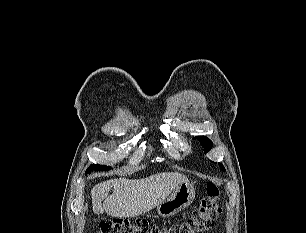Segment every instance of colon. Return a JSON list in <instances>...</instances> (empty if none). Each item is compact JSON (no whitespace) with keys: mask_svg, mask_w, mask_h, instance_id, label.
<instances>
[{"mask_svg":"<svg viewBox=\"0 0 306 233\" xmlns=\"http://www.w3.org/2000/svg\"><path fill=\"white\" fill-rule=\"evenodd\" d=\"M205 191L206 197L187 220L168 226L150 225L145 221L108 220L102 222L95 233H202L213 227L222 211L219 187L207 182Z\"/></svg>","mask_w":306,"mask_h":233,"instance_id":"5ec220e1","label":"colon"}]
</instances>
